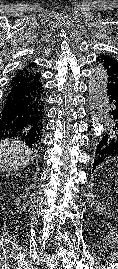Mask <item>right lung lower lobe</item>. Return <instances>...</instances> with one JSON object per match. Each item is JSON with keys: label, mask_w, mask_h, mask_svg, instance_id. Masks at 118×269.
<instances>
[{"label": "right lung lower lobe", "mask_w": 118, "mask_h": 269, "mask_svg": "<svg viewBox=\"0 0 118 269\" xmlns=\"http://www.w3.org/2000/svg\"><path fill=\"white\" fill-rule=\"evenodd\" d=\"M40 89L38 86H9L0 109V138H18L30 148L39 145L43 128L37 124L35 99Z\"/></svg>", "instance_id": "right-lung-lower-lobe-1"}]
</instances>
